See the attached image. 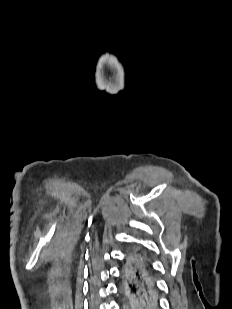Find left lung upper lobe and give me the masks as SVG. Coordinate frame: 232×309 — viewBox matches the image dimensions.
Masks as SVG:
<instances>
[{
	"label": "left lung upper lobe",
	"instance_id": "1",
	"mask_svg": "<svg viewBox=\"0 0 232 309\" xmlns=\"http://www.w3.org/2000/svg\"><path fill=\"white\" fill-rule=\"evenodd\" d=\"M125 293V297H126V300H127V304L131 307V297H130V295H128L126 292H124Z\"/></svg>",
	"mask_w": 232,
	"mask_h": 309
}]
</instances>
